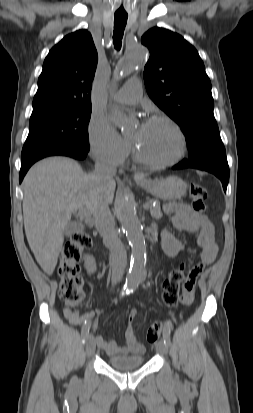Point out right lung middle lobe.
I'll return each instance as SVG.
<instances>
[{
    "mask_svg": "<svg viewBox=\"0 0 253 413\" xmlns=\"http://www.w3.org/2000/svg\"><path fill=\"white\" fill-rule=\"evenodd\" d=\"M92 107L49 108L32 112L22 158L56 149L89 150Z\"/></svg>",
    "mask_w": 253,
    "mask_h": 413,
    "instance_id": "obj_1",
    "label": "right lung middle lobe"
}]
</instances>
